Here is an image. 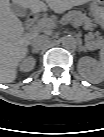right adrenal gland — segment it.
<instances>
[{"mask_svg": "<svg viewBox=\"0 0 104 137\" xmlns=\"http://www.w3.org/2000/svg\"><path fill=\"white\" fill-rule=\"evenodd\" d=\"M31 52H32V53H36V54L39 53V51H38V50H35V49H32Z\"/></svg>", "mask_w": 104, "mask_h": 137, "instance_id": "2a0ac1e0", "label": "right adrenal gland"}]
</instances>
